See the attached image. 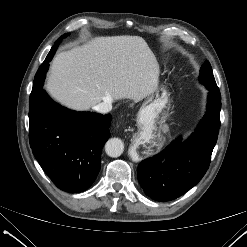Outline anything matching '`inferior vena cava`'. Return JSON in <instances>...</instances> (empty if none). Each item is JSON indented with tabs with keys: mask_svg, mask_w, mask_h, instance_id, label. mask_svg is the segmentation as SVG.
I'll list each match as a JSON object with an SVG mask.
<instances>
[{
	"mask_svg": "<svg viewBox=\"0 0 247 247\" xmlns=\"http://www.w3.org/2000/svg\"><path fill=\"white\" fill-rule=\"evenodd\" d=\"M112 100L111 99H107L97 105H95L93 107V109L99 113H108L112 110V104H111Z\"/></svg>",
	"mask_w": 247,
	"mask_h": 247,
	"instance_id": "1",
	"label": "inferior vena cava"
}]
</instances>
